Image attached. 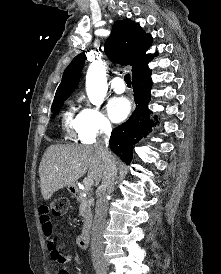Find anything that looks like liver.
I'll return each mask as SVG.
<instances>
[{"instance_id":"obj_1","label":"liver","mask_w":221,"mask_h":274,"mask_svg":"<svg viewBox=\"0 0 221 274\" xmlns=\"http://www.w3.org/2000/svg\"><path fill=\"white\" fill-rule=\"evenodd\" d=\"M96 185L103 178L105 162L96 146L51 145L39 166L41 194L44 200L64 187L73 186L86 174Z\"/></svg>"}]
</instances>
